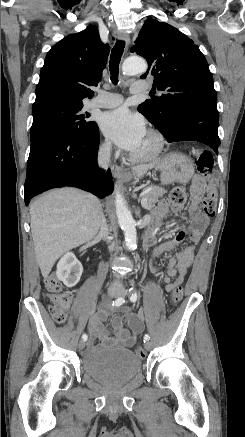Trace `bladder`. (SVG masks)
<instances>
[{"mask_svg":"<svg viewBox=\"0 0 245 437\" xmlns=\"http://www.w3.org/2000/svg\"><path fill=\"white\" fill-rule=\"evenodd\" d=\"M83 371L107 385L120 386L132 380L141 370V360L128 349L96 348L84 354Z\"/></svg>","mask_w":245,"mask_h":437,"instance_id":"31cf9c89","label":"bladder"}]
</instances>
